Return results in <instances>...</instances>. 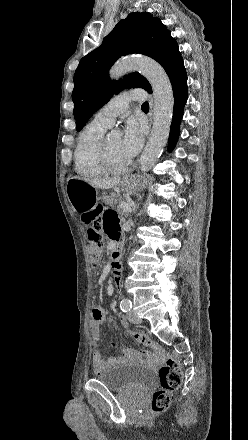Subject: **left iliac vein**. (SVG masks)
I'll return each instance as SVG.
<instances>
[{
    "instance_id": "4c4485c4",
    "label": "left iliac vein",
    "mask_w": 248,
    "mask_h": 440,
    "mask_svg": "<svg viewBox=\"0 0 248 440\" xmlns=\"http://www.w3.org/2000/svg\"><path fill=\"white\" fill-rule=\"evenodd\" d=\"M127 318H128V320L131 322V323H133V324H139V323H141V319L138 317V315L135 313V312H133V311H130L128 314H127Z\"/></svg>"
}]
</instances>
